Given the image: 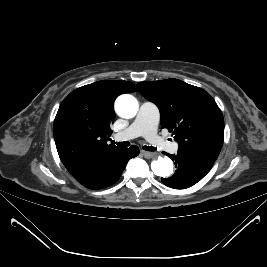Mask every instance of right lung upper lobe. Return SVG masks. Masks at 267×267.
<instances>
[{
	"mask_svg": "<svg viewBox=\"0 0 267 267\" xmlns=\"http://www.w3.org/2000/svg\"><path fill=\"white\" fill-rule=\"evenodd\" d=\"M136 91L132 82L103 80L71 92L61 103L53 126L59 157L72 176L96 157L118 150L107 144L115 99Z\"/></svg>",
	"mask_w": 267,
	"mask_h": 267,
	"instance_id": "1",
	"label": "right lung upper lobe"
}]
</instances>
